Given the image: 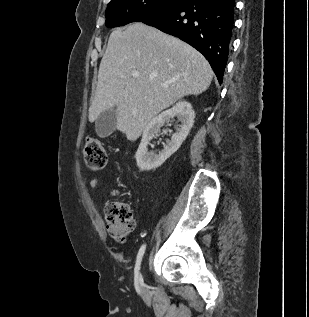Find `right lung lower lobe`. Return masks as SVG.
Listing matches in <instances>:
<instances>
[{
  "instance_id": "98d812e1",
  "label": "right lung lower lobe",
  "mask_w": 309,
  "mask_h": 317,
  "mask_svg": "<svg viewBox=\"0 0 309 317\" xmlns=\"http://www.w3.org/2000/svg\"><path fill=\"white\" fill-rule=\"evenodd\" d=\"M234 0H186L137 18L187 42L209 61L223 81L234 28Z\"/></svg>"
}]
</instances>
